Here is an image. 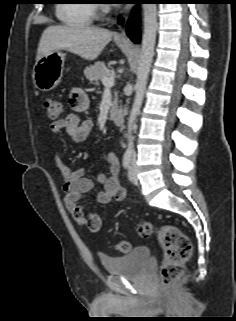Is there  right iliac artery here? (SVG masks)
I'll list each match as a JSON object with an SVG mask.
<instances>
[{
  "label": "right iliac artery",
  "mask_w": 236,
  "mask_h": 321,
  "mask_svg": "<svg viewBox=\"0 0 236 321\" xmlns=\"http://www.w3.org/2000/svg\"><path fill=\"white\" fill-rule=\"evenodd\" d=\"M130 160H131V153L130 152H125L124 156H123V167L124 169H128L130 166Z\"/></svg>",
  "instance_id": "right-iliac-artery-1"
}]
</instances>
